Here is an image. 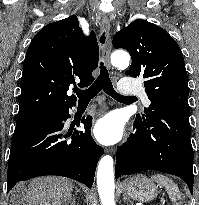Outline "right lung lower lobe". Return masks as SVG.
<instances>
[{"label":"right lung lower lobe","mask_w":199,"mask_h":205,"mask_svg":"<svg viewBox=\"0 0 199 205\" xmlns=\"http://www.w3.org/2000/svg\"><path fill=\"white\" fill-rule=\"evenodd\" d=\"M75 104L59 109L57 120L12 138L7 191L19 181L44 175L66 176L91 188L104 150L91 137V116L82 118L85 132L64 133V123L70 117L69 108ZM70 136L71 141L65 140Z\"/></svg>","instance_id":"1"}]
</instances>
